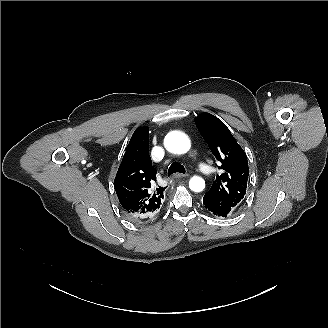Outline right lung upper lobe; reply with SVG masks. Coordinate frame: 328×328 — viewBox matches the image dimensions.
Here are the masks:
<instances>
[{"label":"right lung upper lobe","mask_w":328,"mask_h":328,"mask_svg":"<svg viewBox=\"0 0 328 328\" xmlns=\"http://www.w3.org/2000/svg\"><path fill=\"white\" fill-rule=\"evenodd\" d=\"M156 170L149 156V128L135 130L117 171L114 187L129 217L149 221L163 208L164 190L157 185Z\"/></svg>","instance_id":"cb5924a9"}]
</instances>
